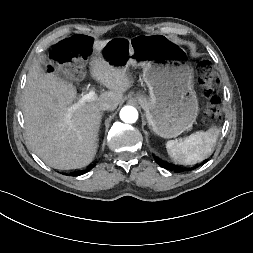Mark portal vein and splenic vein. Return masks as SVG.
Segmentation results:
<instances>
[{
	"label": "portal vein and splenic vein",
	"mask_w": 253,
	"mask_h": 253,
	"mask_svg": "<svg viewBox=\"0 0 253 253\" xmlns=\"http://www.w3.org/2000/svg\"><path fill=\"white\" fill-rule=\"evenodd\" d=\"M96 93L93 90H90L88 93L86 94H82L81 98L79 99V103H86L92 100H95L96 98Z\"/></svg>",
	"instance_id": "portal-vein-and-splenic-vein-1"
}]
</instances>
